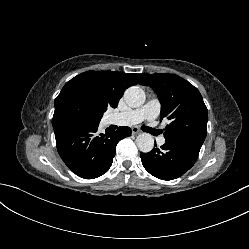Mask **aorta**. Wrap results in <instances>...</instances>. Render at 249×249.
I'll return each instance as SVG.
<instances>
[{"label": "aorta", "instance_id": "obj_1", "mask_svg": "<svg viewBox=\"0 0 249 249\" xmlns=\"http://www.w3.org/2000/svg\"><path fill=\"white\" fill-rule=\"evenodd\" d=\"M124 99L129 106L139 107L145 102V92L137 86H132L126 89ZM136 145L141 152L147 153L153 149L154 139L152 135L143 133L137 136Z\"/></svg>", "mask_w": 249, "mask_h": 249}]
</instances>
